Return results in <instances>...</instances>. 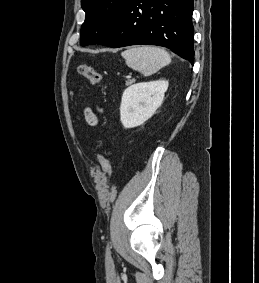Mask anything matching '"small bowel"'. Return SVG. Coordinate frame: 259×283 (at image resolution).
<instances>
[{
    "label": "small bowel",
    "mask_w": 259,
    "mask_h": 283,
    "mask_svg": "<svg viewBox=\"0 0 259 283\" xmlns=\"http://www.w3.org/2000/svg\"><path fill=\"white\" fill-rule=\"evenodd\" d=\"M85 119L88 124L94 126L98 123L97 115L90 109L85 110Z\"/></svg>",
    "instance_id": "c3829d8e"
}]
</instances>
